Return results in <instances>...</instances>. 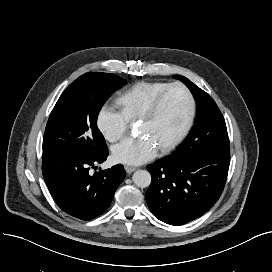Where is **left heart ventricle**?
I'll return each mask as SVG.
<instances>
[{
	"mask_svg": "<svg viewBox=\"0 0 272 272\" xmlns=\"http://www.w3.org/2000/svg\"><path fill=\"white\" fill-rule=\"evenodd\" d=\"M187 111L186 94L181 89L174 88L167 93L152 118L139 122L138 131L149 137L159 148L180 129L185 121Z\"/></svg>",
	"mask_w": 272,
	"mask_h": 272,
	"instance_id": "b2bd125f",
	"label": "left heart ventricle"
}]
</instances>
